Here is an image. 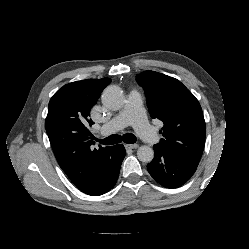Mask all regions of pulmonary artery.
<instances>
[{"label": "pulmonary artery", "mask_w": 249, "mask_h": 249, "mask_svg": "<svg viewBox=\"0 0 249 249\" xmlns=\"http://www.w3.org/2000/svg\"><path fill=\"white\" fill-rule=\"evenodd\" d=\"M126 126H132L140 137L149 144H154L159 140L158 134L147 122L143 109V99L136 89L130 91L122 110L101 126L100 134L103 136L111 135Z\"/></svg>", "instance_id": "obj_1"}]
</instances>
